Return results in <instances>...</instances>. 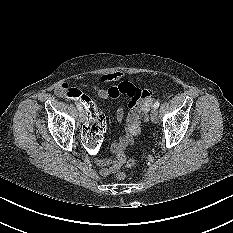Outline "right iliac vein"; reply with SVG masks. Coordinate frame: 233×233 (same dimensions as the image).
<instances>
[{
    "label": "right iliac vein",
    "instance_id": "63e3f726",
    "mask_svg": "<svg viewBox=\"0 0 233 233\" xmlns=\"http://www.w3.org/2000/svg\"><path fill=\"white\" fill-rule=\"evenodd\" d=\"M85 119H86L85 111L81 110L80 113H79V120H80V122H84Z\"/></svg>",
    "mask_w": 233,
    "mask_h": 233
}]
</instances>
